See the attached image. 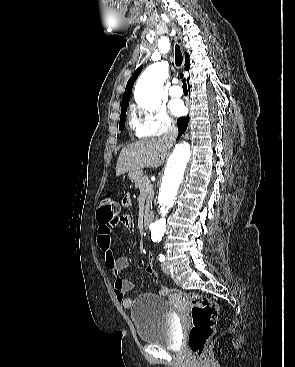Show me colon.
<instances>
[{
  "label": "colon",
  "mask_w": 295,
  "mask_h": 367,
  "mask_svg": "<svg viewBox=\"0 0 295 367\" xmlns=\"http://www.w3.org/2000/svg\"><path fill=\"white\" fill-rule=\"evenodd\" d=\"M117 204L110 197L104 196L100 202V207L97 214V219L100 222L106 223L117 217ZM155 265L148 263L146 271L158 281V276L155 271ZM171 292L167 288L162 289V293ZM191 303V314L193 325L188 335V345L190 350L199 358L203 356L206 344L212 337L215 331L218 315V305L211 298L195 293L188 292L182 294Z\"/></svg>",
  "instance_id": "colon-1"
}]
</instances>
